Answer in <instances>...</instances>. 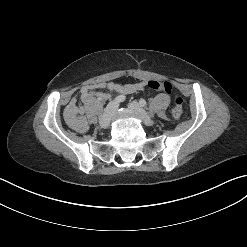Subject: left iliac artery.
<instances>
[{"mask_svg": "<svg viewBox=\"0 0 247 247\" xmlns=\"http://www.w3.org/2000/svg\"><path fill=\"white\" fill-rule=\"evenodd\" d=\"M139 104L144 107L146 105V101L144 99H140Z\"/></svg>", "mask_w": 247, "mask_h": 247, "instance_id": "44dca946", "label": "left iliac artery"}]
</instances>
